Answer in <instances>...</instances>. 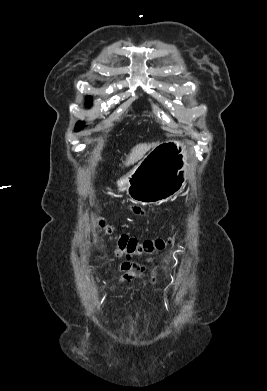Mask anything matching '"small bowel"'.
I'll return each instance as SVG.
<instances>
[{
    "label": "small bowel",
    "mask_w": 267,
    "mask_h": 391,
    "mask_svg": "<svg viewBox=\"0 0 267 391\" xmlns=\"http://www.w3.org/2000/svg\"><path fill=\"white\" fill-rule=\"evenodd\" d=\"M133 212L139 214L141 213V209L138 207H134ZM120 270L122 271L121 280L125 282L131 281L134 277L141 275L143 272L142 267L130 265L128 263L122 264L120 266Z\"/></svg>",
    "instance_id": "obj_1"
}]
</instances>
